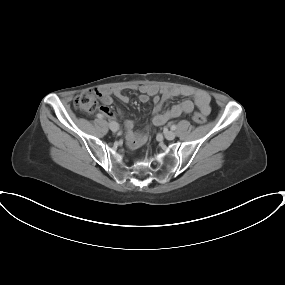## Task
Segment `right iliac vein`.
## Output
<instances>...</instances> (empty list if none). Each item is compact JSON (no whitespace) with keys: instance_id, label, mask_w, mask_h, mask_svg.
I'll use <instances>...</instances> for the list:
<instances>
[{"instance_id":"obj_1","label":"right iliac vein","mask_w":285,"mask_h":285,"mask_svg":"<svg viewBox=\"0 0 285 285\" xmlns=\"http://www.w3.org/2000/svg\"><path fill=\"white\" fill-rule=\"evenodd\" d=\"M109 127L112 131L116 132L119 130V125L116 122H110Z\"/></svg>"}]
</instances>
